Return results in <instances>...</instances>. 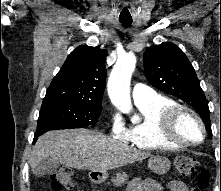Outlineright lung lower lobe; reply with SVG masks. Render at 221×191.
Masks as SVG:
<instances>
[{"label": "right lung lower lobe", "mask_w": 221, "mask_h": 191, "mask_svg": "<svg viewBox=\"0 0 221 191\" xmlns=\"http://www.w3.org/2000/svg\"><path fill=\"white\" fill-rule=\"evenodd\" d=\"M38 136H39V134H35L33 143H35V141L37 140Z\"/></svg>", "instance_id": "obj_1"}]
</instances>
